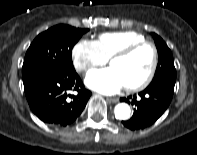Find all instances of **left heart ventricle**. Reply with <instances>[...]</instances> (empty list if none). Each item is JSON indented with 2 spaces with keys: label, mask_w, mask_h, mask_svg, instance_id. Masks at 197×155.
Instances as JSON below:
<instances>
[{
  "label": "left heart ventricle",
  "mask_w": 197,
  "mask_h": 155,
  "mask_svg": "<svg viewBox=\"0 0 197 155\" xmlns=\"http://www.w3.org/2000/svg\"><path fill=\"white\" fill-rule=\"evenodd\" d=\"M152 64V51L143 47L131 55L115 59L111 67L115 68L121 76L124 85H134L141 82L148 74Z\"/></svg>",
  "instance_id": "b2bd125f"
}]
</instances>
